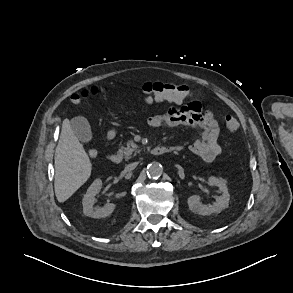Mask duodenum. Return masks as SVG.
<instances>
[{
    "mask_svg": "<svg viewBox=\"0 0 293 293\" xmlns=\"http://www.w3.org/2000/svg\"><path fill=\"white\" fill-rule=\"evenodd\" d=\"M174 151H178L177 146H155L150 150V153L154 156H159ZM109 159L112 163L119 164L123 161V155L121 153H113Z\"/></svg>",
    "mask_w": 293,
    "mask_h": 293,
    "instance_id": "410a0bca",
    "label": "duodenum"
}]
</instances>
